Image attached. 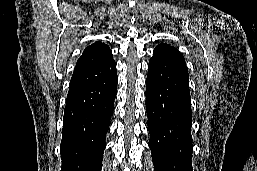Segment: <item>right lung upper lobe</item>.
<instances>
[{"instance_id":"right-lung-upper-lobe-1","label":"right lung upper lobe","mask_w":257,"mask_h":171,"mask_svg":"<svg viewBox=\"0 0 257 171\" xmlns=\"http://www.w3.org/2000/svg\"><path fill=\"white\" fill-rule=\"evenodd\" d=\"M112 58V51L105 43L97 41L86 47L77 60L76 67L99 64Z\"/></svg>"}]
</instances>
